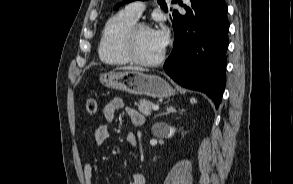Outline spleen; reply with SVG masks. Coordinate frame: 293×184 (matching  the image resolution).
<instances>
[{"label": "spleen", "mask_w": 293, "mask_h": 184, "mask_svg": "<svg viewBox=\"0 0 293 184\" xmlns=\"http://www.w3.org/2000/svg\"><path fill=\"white\" fill-rule=\"evenodd\" d=\"M190 102H191L192 104H194V103L197 102V100H196L195 98H191V99H190Z\"/></svg>", "instance_id": "3e777b00"}]
</instances>
